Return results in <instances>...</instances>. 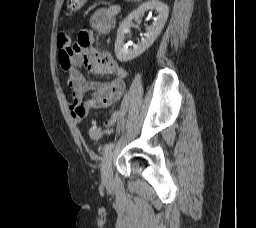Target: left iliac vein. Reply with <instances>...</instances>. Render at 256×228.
Instances as JSON below:
<instances>
[{
  "mask_svg": "<svg viewBox=\"0 0 256 228\" xmlns=\"http://www.w3.org/2000/svg\"><path fill=\"white\" fill-rule=\"evenodd\" d=\"M113 152L109 151L102 162V183L105 186H111L113 183V170H112V160Z\"/></svg>",
  "mask_w": 256,
  "mask_h": 228,
  "instance_id": "4c4485c4",
  "label": "left iliac vein"
}]
</instances>
